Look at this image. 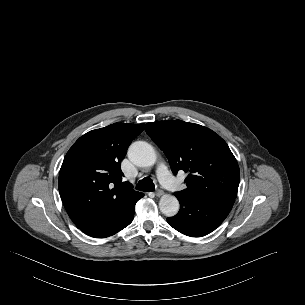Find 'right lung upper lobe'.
Returning a JSON list of instances; mask_svg holds the SVG:
<instances>
[{
    "label": "right lung upper lobe",
    "mask_w": 305,
    "mask_h": 305,
    "mask_svg": "<svg viewBox=\"0 0 305 305\" xmlns=\"http://www.w3.org/2000/svg\"><path fill=\"white\" fill-rule=\"evenodd\" d=\"M143 129L144 124L114 123L84 134L67 152L59 192L78 228L106 222L142 194L122 182L120 163Z\"/></svg>",
    "instance_id": "1"
}]
</instances>
